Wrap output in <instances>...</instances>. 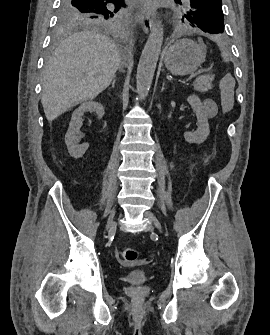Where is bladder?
I'll return each instance as SVG.
<instances>
[{"mask_svg": "<svg viewBox=\"0 0 270 335\" xmlns=\"http://www.w3.org/2000/svg\"><path fill=\"white\" fill-rule=\"evenodd\" d=\"M125 278L130 286L142 285L147 278V271L146 269L130 270L126 273Z\"/></svg>", "mask_w": 270, "mask_h": 335, "instance_id": "bladder-1", "label": "bladder"}]
</instances>
